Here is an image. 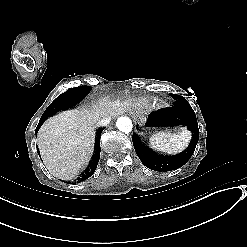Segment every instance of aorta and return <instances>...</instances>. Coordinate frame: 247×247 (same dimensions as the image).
<instances>
[{"mask_svg":"<svg viewBox=\"0 0 247 247\" xmlns=\"http://www.w3.org/2000/svg\"><path fill=\"white\" fill-rule=\"evenodd\" d=\"M116 126L119 131L124 133L131 132L133 128V124L130 118L128 117H120L117 119Z\"/></svg>","mask_w":247,"mask_h":247,"instance_id":"obj_1","label":"aorta"}]
</instances>
